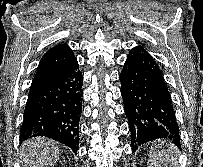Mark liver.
Returning <instances> with one entry per match:
<instances>
[{
  "label": "liver",
  "mask_w": 203,
  "mask_h": 167,
  "mask_svg": "<svg viewBox=\"0 0 203 167\" xmlns=\"http://www.w3.org/2000/svg\"><path fill=\"white\" fill-rule=\"evenodd\" d=\"M59 147L44 137L25 141L21 147L22 167H54L59 158Z\"/></svg>",
  "instance_id": "obj_1"
}]
</instances>
